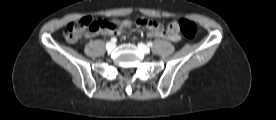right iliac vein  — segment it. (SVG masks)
Returning <instances> with one entry per match:
<instances>
[{
    "label": "right iliac vein",
    "instance_id": "63e3f726",
    "mask_svg": "<svg viewBox=\"0 0 276 120\" xmlns=\"http://www.w3.org/2000/svg\"><path fill=\"white\" fill-rule=\"evenodd\" d=\"M115 46H116L115 43L109 42V43L106 44V50H107L108 52H111V51L114 50Z\"/></svg>",
    "mask_w": 276,
    "mask_h": 120
}]
</instances>
